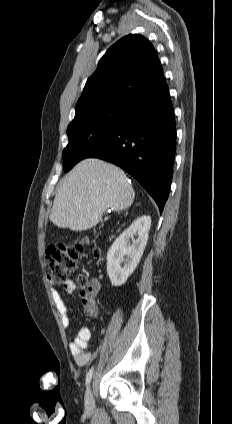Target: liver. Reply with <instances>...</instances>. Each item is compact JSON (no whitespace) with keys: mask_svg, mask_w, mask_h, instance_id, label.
<instances>
[{"mask_svg":"<svg viewBox=\"0 0 232 424\" xmlns=\"http://www.w3.org/2000/svg\"><path fill=\"white\" fill-rule=\"evenodd\" d=\"M134 196L118 167L97 158L84 159L62 180L49 219L60 228L85 231L100 222L107 208H129Z\"/></svg>","mask_w":232,"mask_h":424,"instance_id":"obj_1","label":"liver"}]
</instances>
